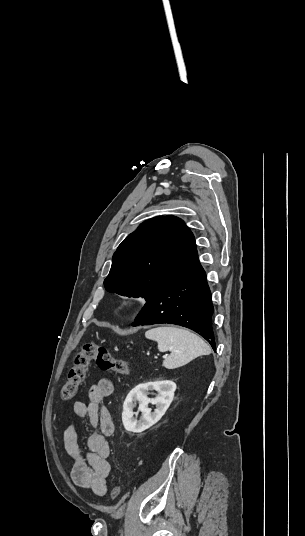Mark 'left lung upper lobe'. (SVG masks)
I'll use <instances>...</instances> for the list:
<instances>
[{
  "label": "left lung upper lobe",
  "instance_id": "5c2ea615",
  "mask_svg": "<svg viewBox=\"0 0 305 536\" xmlns=\"http://www.w3.org/2000/svg\"><path fill=\"white\" fill-rule=\"evenodd\" d=\"M198 258L195 238L174 216L142 223L119 245L104 280L107 291L152 298Z\"/></svg>",
  "mask_w": 305,
  "mask_h": 536
}]
</instances>
